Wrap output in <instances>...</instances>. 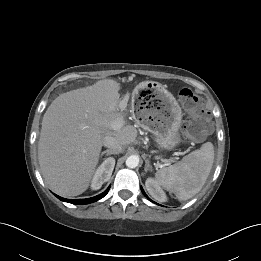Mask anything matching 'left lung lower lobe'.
Segmentation results:
<instances>
[{
  "label": "left lung lower lobe",
  "instance_id": "obj_1",
  "mask_svg": "<svg viewBox=\"0 0 261 261\" xmlns=\"http://www.w3.org/2000/svg\"><path fill=\"white\" fill-rule=\"evenodd\" d=\"M141 191H142V193L144 194V196L148 198V196L145 194V192H144V190H143L142 187H141ZM148 199H149V198H148ZM149 200H150V199H149Z\"/></svg>",
  "mask_w": 261,
  "mask_h": 261
}]
</instances>
